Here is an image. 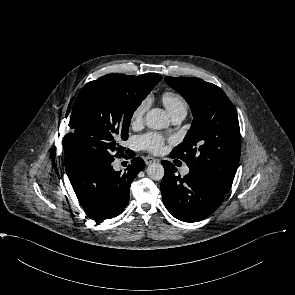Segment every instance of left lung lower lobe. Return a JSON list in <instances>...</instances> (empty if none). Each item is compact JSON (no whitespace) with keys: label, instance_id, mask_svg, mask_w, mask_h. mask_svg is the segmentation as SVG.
<instances>
[{"label":"left lung lower lobe","instance_id":"1","mask_svg":"<svg viewBox=\"0 0 295 295\" xmlns=\"http://www.w3.org/2000/svg\"><path fill=\"white\" fill-rule=\"evenodd\" d=\"M171 156V155H170ZM165 175L161 181L163 203L184 222H197L211 215L229 192L205 174L190 171L183 178L175 175L171 162L162 161Z\"/></svg>","mask_w":295,"mask_h":295}]
</instances>
